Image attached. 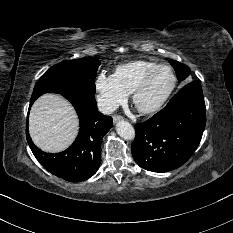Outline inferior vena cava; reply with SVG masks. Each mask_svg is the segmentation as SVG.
I'll use <instances>...</instances> for the list:
<instances>
[{
    "label": "inferior vena cava",
    "instance_id": "inferior-vena-cava-1",
    "mask_svg": "<svg viewBox=\"0 0 233 233\" xmlns=\"http://www.w3.org/2000/svg\"><path fill=\"white\" fill-rule=\"evenodd\" d=\"M98 110L103 114H110L118 108V104L105 98H98Z\"/></svg>",
    "mask_w": 233,
    "mask_h": 233
}]
</instances>
